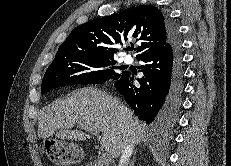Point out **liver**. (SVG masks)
Returning a JSON list of instances; mask_svg holds the SVG:
<instances>
[{
	"label": "liver",
	"mask_w": 231,
	"mask_h": 166,
	"mask_svg": "<svg viewBox=\"0 0 231 166\" xmlns=\"http://www.w3.org/2000/svg\"><path fill=\"white\" fill-rule=\"evenodd\" d=\"M74 125L92 132H102L101 146L112 158H118L128 144H138L145 132L130 109L104 91L82 88L64 100L45 107L39 115L38 137L67 140L90 139L89 134L72 130Z\"/></svg>",
	"instance_id": "1"
}]
</instances>
